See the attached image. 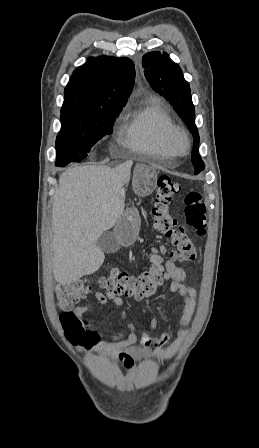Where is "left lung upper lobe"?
Segmentation results:
<instances>
[{
  "label": "left lung upper lobe",
  "mask_w": 259,
  "mask_h": 448,
  "mask_svg": "<svg viewBox=\"0 0 259 448\" xmlns=\"http://www.w3.org/2000/svg\"><path fill=\"white\" fill-rule=\"evenodd\" d=\"M142 66L147 81L152 88L165 97L180 115L194 137L192 163L195 174L204 170L205 165L198 153L199 133L195 125V109L188 82L181 68L173 62L167 53L150 52L143 56Z\"/></svg>",
  "instance_id": "1"
}]
</instances>
